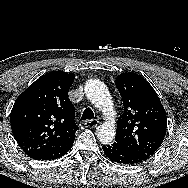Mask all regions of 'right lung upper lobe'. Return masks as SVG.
Listing matches in <instances>:
<instances>
[{"instance_id": "right-lung-upper-lobe-1", "label": "right lung upper lobe", "mask_w": 188, "mask_h": 188, "mask_svg": "<svg viewBox=\"0 0 188 188\" xmlns=\"http://www.w3.org/2000/svg\"><path fill=\"white\" fill-rule=\"evenodd\" d=\"M74 73L52 71L32 83L16 99L11 129L21 149L31 158L74 142L75 108L68 98Z\"/></svg>"}]
</instances>
